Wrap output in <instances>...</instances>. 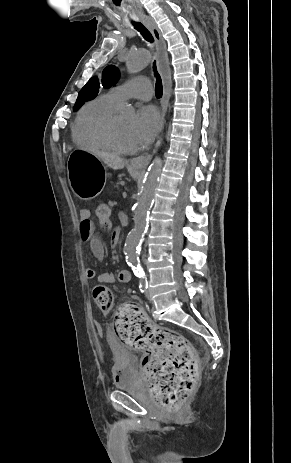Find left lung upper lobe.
<instances>
[{
  "instance_id": "5c2ea615",
  "label": "left lung upper lobe",
  "mask_w": 291,
  "mask_h": 463,
  "mask_svg": "<svg viewBox=\"0 0 291 463\" xmlns=\"http://www.w3.org/2000/svg\"><path fill=\"white\" fill-rule=\"evenodd\" d=\"M118 79V69L113 65L107 66L102 72L101 80L97 76H93L80 90L74 110L78 109L85 101L95 98L101 86L108 88L114 85Z\"/></svg>"
}]
</instances>
